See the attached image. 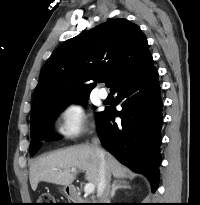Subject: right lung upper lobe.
<instances>
[{"label":"right lung upper lobe","mask_w":200,"mask_h":205,"mask_svg":"<svg viewBox=\"0 0 200 205\" xmlns=\"http://www.w3.org/2000/svg\"><path fill=\"white\" fill-rule=\"evenodd\" d=\"M152 56L139 27L119 18L99 24L61 44L42 68L31 119L54 100L89 96L107 75L112 91L149 63ZM94 83H89V81Z\"/></svg>","instance_id":"obj_1"}]
</instances>
